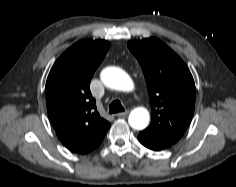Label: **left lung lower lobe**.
<instances>
[{"mask_svg": "<svg viewBox=\"0 0 236 187\" xmlns=\"http://www.w3.org/2000/svg\"><path fill=\"white\" fill-rule=\"evenodd\" d=\"M138 140L145 147H147L151 150H155V151L163 150V149L168 148L172 145L168 142H164V141H161V140H158L153 137L146 136V135H143L140 133L138 136Z\"/></svg>", "mask_w": 236, "mask_h": 187, "instance_id": "obj_1", "label": "left lung lower lobe"}]
</instances>
